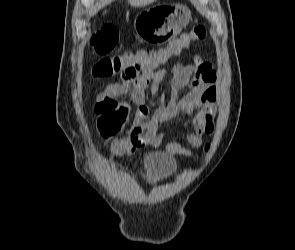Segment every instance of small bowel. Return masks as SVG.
I'll return each mask as SVG.
<instances>
[{"instance_id":"c3829d8e","label":"small bowel","mask_w":295,"mask_h":250,"mask_svg":"<svg viewBox=\"0 0 295 250\" xmlns=\"http://www.w3.org/2000/svg\"><path fill=\"white\" fill-rule=\"evenodd\" d=\"M178 54L180 52H171L168 49L123 54L129 60V66L121 73V80L104 87L96 99V104H99L105 98L114 99L129 94L139 106L128 135L112 142L114 154L133 155L147 146H164L169 153L190 155L189 150L180 143L167 140L165 134L159 132L161 123L179 114L187 117L190 131L186 141L189 146L199 148L204 143L203 136L213 134L217 113V75L212 65L198 56L189 63H177L173 66L168 100L161 95L158 105L149 114L145 91L149 89L153 98L159 94L160 85L167 74L161 66L170 57ZM184 88L189 91L180 97L179 91Z\"/></svg>"}]
</instances>
